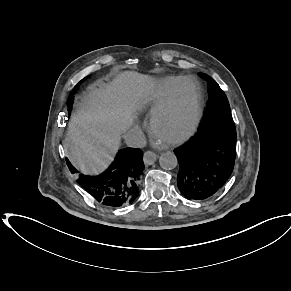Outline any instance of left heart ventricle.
Wrapping results in <instances>:
<instances>
[{"label": "left heart ventricle", "instance_id": "obj_1", "mask_svg": "<svg viewBox=\"0 0 291 291\" xmlns=\"http://www.w3.org/2000/svg\"><path fill=\"white\" fill-rule=\"evenodd\" d=\"M192 93V86H186L171 112L158 123L157 136L159 138L170 140L188 129L192 118Z\"/></svg>", "mask_w": 291, "mask_h": 291}]
</instances>
